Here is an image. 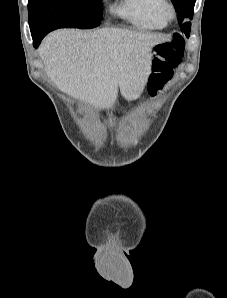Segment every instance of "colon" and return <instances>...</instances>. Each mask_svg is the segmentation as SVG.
Segmentation results:
<instances>
[{"mask_svg": "<svg viewBox=\"0 0 227 298\" xmlns=\"http://www.w3.org/2000/svg\"><path fill=\"white\" fill-rule=\"evenodd\" d=\"M185 43L181 36L173 35L172 39L154 47L153 69L148 89L156 94L170 80L173 70L178 68L184 57Z\"/></svg>", "mask_w": 227, "mask_h": 298, "instance_id": "colon-1", "label": "colon"}]
</instances>
